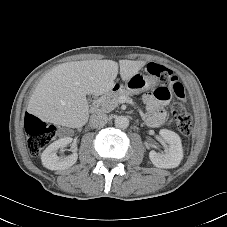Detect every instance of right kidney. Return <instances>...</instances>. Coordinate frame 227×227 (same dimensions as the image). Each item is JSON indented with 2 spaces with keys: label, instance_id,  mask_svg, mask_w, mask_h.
I'll list each match as a JSON object with an SVG mask.
<instances>
[{
  "label": "right kidney",
  "instance_id": "right-kidney-1",
  "mask_svg": "<svg viewBox=\"0 0 227 227\" xmlns=\"http://www.w3.org/2000/svg\"><path fill=\"white\" fill-rule=\"evenodd\" d=\"M72 142V138L64 137L54 141L42 153L41 160L44 167L50 170H64L74 165L78 154L74 152L69 156L59 157L57 151Z\"/></svg>",
  "mask_w": 227,
  "mask_h": 227
}]
</instances>
